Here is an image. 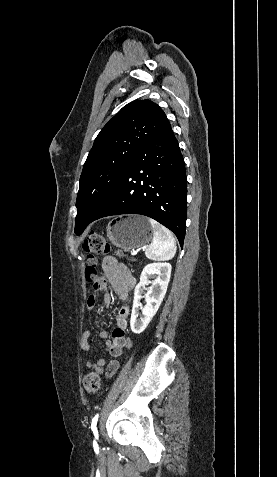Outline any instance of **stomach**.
Segmentation results:
<instances>
[{
    "instance_id": "stomach-1",
    "label": "stomach",
    "mask_w": 277,
    "mask_h": 477,
    "mask_svg": "<svg viewBox=\"0 0 277 477\" xmlns=\"http://www.w3.org/2000/svg\"><path fill=\"white\" fill-rule=\"evenodd\" d=\"M107 236L112 245L129 251L146 245L153 229L145 216L129 215L112 219L107 225Z\"/></svg>"
}]
</instances>
